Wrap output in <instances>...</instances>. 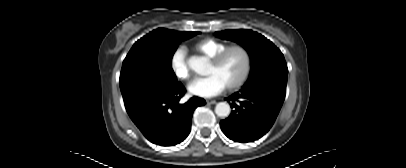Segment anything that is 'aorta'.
I'll use <instances>...</instances> for the list:
<instances>
[{
	"mask_svg": "<svg viewBox=\"0 0 406 168\" xmlns=\"http://www.w3.org/2000/svg\"><path fill=\"white\" fill-rule=\"evenodd\" d=\"M189 67L197 74L205 75L208 65L204 58L191 57L188 60ZM230 105L226 102H219L215 107V113L219 117H228L230 114Z\"/></svg>",
	"mask_w": 406,
	"mask_h": 168,
	"instance_id": "obj_1",
	"label": "aorta"
}]
</instances>
